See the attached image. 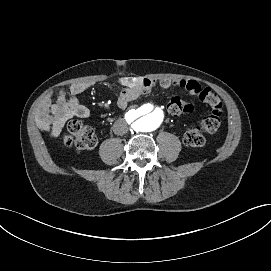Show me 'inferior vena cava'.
I'll return each instance as SVG.
<instances>
[{
  "label": "inferior vena cava",
  "mask_w": 271,
  "mask_h": 271,
  "mask_svg": "<svg viewBox=\"0 0 271 271\" xmlns=\"http://www.w3.org/2000/svg\"><path fill=\"white\" fill-rule=\"evenodd\" d=\"M113 132L116 135H124L128 132L127 124L124 120H117L113 125Z\"/></svg>",
  "instance_id": "obj_1"
}]
</instances>
